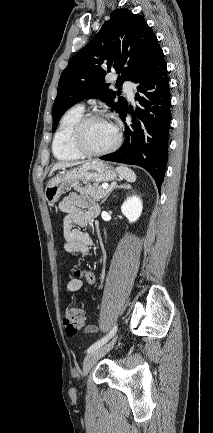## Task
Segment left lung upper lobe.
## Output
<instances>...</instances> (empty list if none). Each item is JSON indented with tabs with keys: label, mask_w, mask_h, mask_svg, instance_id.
Here are the masks:
<instances>
[{
	"label": "left lung upper lobe",
	"mask_w": 213,
	"mask_h": 433,
	"mask_svg": "<svg viewBox=\"0 0 213 433\" xmlns=\"http://www.w3.org/2000/svg\"><path fill=\"white\" fill-rule=\"evenodd\" d=\"M158 47L156 35L142 16L128 9L115 10L62 72L53 104L52 132L64 112L83 99L98 98L121 115L127 101L123 97L116 99L118 94L105 84L106 73L120 74L117 86L132 81Z\"/></svg>",
	"instance_id": "5c2ea615"
}]
</instances>
